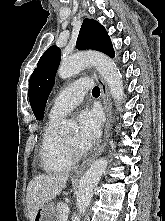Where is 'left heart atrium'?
<instances>
[{
	"instance_id": "obj_1",
	"label": "left heart atrium",
	"mask_w": 165,
	"mask_h": 221,
	"mask_svg": "<svg viewBox=\"0 0 165 221\" xmlns=\"http://www.w3.org/2000/svg\"><path fill=\"white\" fill-rule=\"evenodd\" d=\"M78 143L84 150L91 148L101 134L102 118L97 110L86 108L78 116Z\"/></svg>"
}]
</instances>
